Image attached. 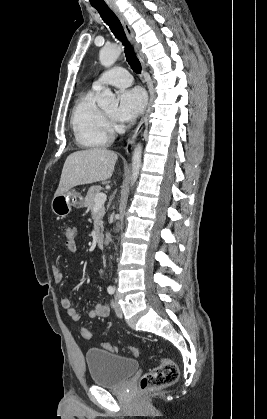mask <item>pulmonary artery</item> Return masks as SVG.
Listing matches in <instances>:
<instances>
[{"mask_svg": "<svg viewBox=\"0 0 267 419\" xmlns=\"http://www.w3.org/2000/svg\"><path fill=\"white\" fill-rule=\"evenodd\" d=\"M131 74L122 67H114L102 73L94 82L92 87L100 90L105 85H112L115 87H127L132 84Z\"/></svg>", "mask_w": 267, "mask_h": 419, "instance_id": "1", "label": "pulmonary artery"}]
</instances>
